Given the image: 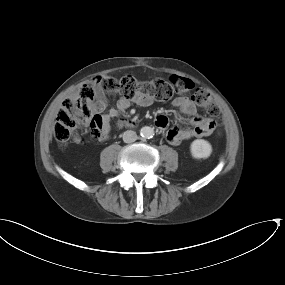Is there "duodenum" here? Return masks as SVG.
Masks as SVG:
<instances>
[{
  "label": "duodenum",
  "instance_id": "1",
  "mask_svg": "<svg viewBox=\"0 0 285 285\" xmlns=\"http://www.w3.org/2000/svg\"><path fill=\"white\" fill-rule=\"evenodd\" d=\"M131 125H132V123L129 120H122L119 123V126H121V127H124V126L130 127Z\"/></svg>",
  "mask_w": 285,
  "mask_h": 285
}]
</instances>
